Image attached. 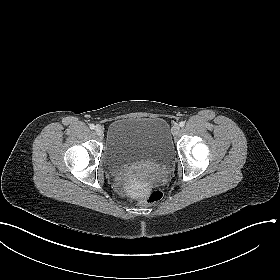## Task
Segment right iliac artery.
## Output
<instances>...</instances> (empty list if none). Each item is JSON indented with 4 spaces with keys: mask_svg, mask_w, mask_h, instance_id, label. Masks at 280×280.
<instances>
[{
    "mask_svg": "<svg viewBox=\"0 0 280 280\" xmlns=\"http://www.w3.org/2000/svg\"><path fill=\"white\" fill-rule=\"evenodd\" d=\"M89 127H90V129H94L95 125L94 124H90Z\"/></svg>",
    "mask_w": 280,
    "mask_h": 280,
    "instance_id": "1",
    "label": "right iliac artery"
}]
</instances>
